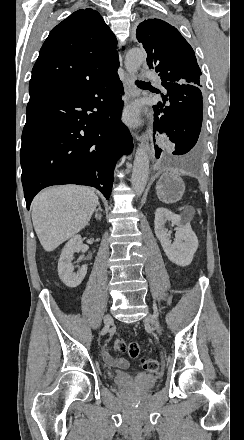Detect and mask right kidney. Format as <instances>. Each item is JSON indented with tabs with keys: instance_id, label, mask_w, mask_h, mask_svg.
<instances>
[{
	"instance_id": "ca27d5eb",
	"label": "right kidney",
	"mask_w": 244,
	"mask_h": 440,
	"mask_svg": "<svg viewBox=\"0 0 244 440\" xmlns=\"http://www.w3.org/2000/svg\"><path fill=\"white\" fill-rule=\"evenodd\" d=\"M82 244L81 236H73L64 246L58 262V276L68 288H77L87 274V266H81L77 274H75L74 266L71 264L74 252H79Z\"/></svg>"
}]
</instances>
